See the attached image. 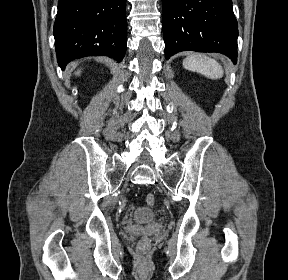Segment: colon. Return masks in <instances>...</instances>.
I'll return each instance as SVG.
<instances>
[{"mask_svg":"<svg viewBox=\"0 0 288 280\" xmlns=\"http://www.w3.org/2000/svg\"><path fill=\"white\" fill-rule=\"evenodd\" d=\"M145 202L147 203V205L153 206L155 204V196L152 193H148L145 196Z\"/></svg>","mask_w":288,"mask_h":280,"instance_id":"1","label":"colon"}]
</instances>
